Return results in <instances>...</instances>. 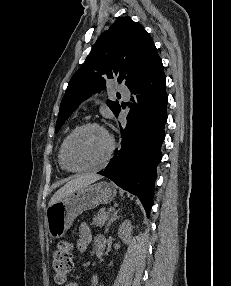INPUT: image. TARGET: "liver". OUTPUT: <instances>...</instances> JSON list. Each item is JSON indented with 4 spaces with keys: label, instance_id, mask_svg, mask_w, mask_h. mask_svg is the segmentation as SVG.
I'll return each mask as SVG.
<instances>
[{
    "label": "liver",
    "instance_id": "6515ba94",
    "mask_svg": "<svg viewBox=\"0 0 231 286\" xmlns=\"http://www.w3.org/2000/svg\"><path fill=\"white\" fill-rule=\"evenodd\" d=\"M102 177L94 174L80 175L74 178L73 180L67 182L63 187L55 192L49 201V206L57 203L62 200L64 197L68 196L77 189H80L84 186H87Z\"/></svg>",
    "mask_w": 231,
    "mask_h": 286
}]
</instances>
